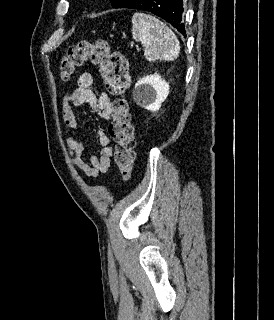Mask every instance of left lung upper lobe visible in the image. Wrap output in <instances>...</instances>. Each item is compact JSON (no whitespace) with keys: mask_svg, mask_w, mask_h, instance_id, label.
I'll list each match as a JSON object with an SVG mask.
<instances>
[{"mask_svg":"<svg viewBox=\"0 0 274 320\" xmlns=\"http://www.w3.org/2000/svg\"><path fill=\"white\" fill-rule=\"evenodd\" d=\"M113 8H123L130 0H110Z\"/></svg>","mask_w":274,"mask_h":320,"instance_id":"1","label":"left lung upper lobe"}]
</instances>
